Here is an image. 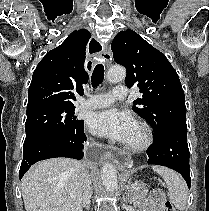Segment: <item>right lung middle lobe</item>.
<instances>
[{
	"instance_id": "right-lung-middle-lobe-1",
	"label": "right lung middle lobe",
	"mask_w": 209,
	"mask_h": 211,
	"mask_svg": "<svg viewBox=\"0 0 209 211\" xmlns=\"http://www.w3.org/2000/svg\"><path fill=\"white\" fill-rule=\"evenodd\" d=\"M75 108H44L27 112L26 138L23 153L53 137L74 133L84 127V121L76 120Z\"/></svg>"
}]
</instances>
